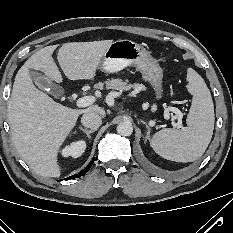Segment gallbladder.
<instances>
[{
    "instance_id": "bac80fb5",
    "label": "gallbladder",
    "mask_w": 233,
    "mask_h": 233,
    "mask_svg": "<svg viewBox=\"0 0 233 233\" xmlns=\"http://www.w3.org/2000/svg\"><path fill=\"white\" fill-rule=\"evenodd\" d=\"M30 76L35 84L41 89H49L50 93H52L56 97H61L63 94V89L61 86H58L51 82L49 78L41 74L36 70H29Z\"/></svg>"
}]
</instances>
